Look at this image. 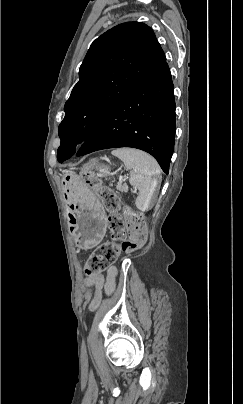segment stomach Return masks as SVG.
I'll return each instance as SVG.
<instances>
[{
  "mask_svg": "<svg viewBox=\"0 0 243 404\" xmlns=\"http://www.w3.org/2000/svg\"><path fill=\"white\" fill-rule=\"evenodd\" d=\"M99 177L112 175L110 165H99ZM64 195L69 205L68 223L75 243L81 249L99 244L106 231V214L97 197L81 178L67 173L62 179Z\"/></svg>",
  "mask_w": 243,
  "mask_h": 404,
  "instance_id": "stomach-1",
  "label": "stomach"
}]
</instances>
